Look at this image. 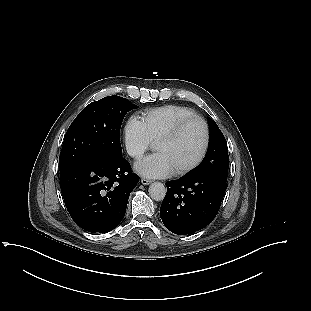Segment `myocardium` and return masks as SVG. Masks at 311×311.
I'll list each match as a JSON object with an SVG mask.
<instances>
[{
	"label": "myocardium",
	"mask_w": 311,
	"mask_h": 311,
	"mask_svg": "<svg viewBox=\"0 0 311 311\" xmlns=\"http://www.w3.org/2000/svg\"><path fill=\"white\" fill-rule=\"evenodd\" d=\"M195 122L199 123L203 129V142H202L201 149L193 161H191L190 163L174 170L175 175H183V174L193 170L194 168H196L203 161V159L207 153V150L209 147V141H210V133H209V127H208L207 122L200 116H191V117L184 118V119L178 121L176 124H174L170 129H168L167 131L162 133L158 137V139L156 140V143H158L160 141L174 140L175 138H177L180 135V133L188 125L195 123Z\"/></svg>",
	"instance_id": "myocardium-1"
}]
</instances>
